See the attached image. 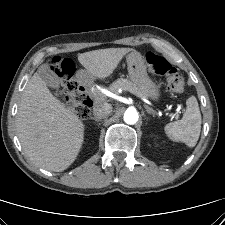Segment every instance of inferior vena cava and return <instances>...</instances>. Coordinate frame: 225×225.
Segmentation results:
<instances>
[{
  "label": "inferior vena cava",
  "mask_w": 225,
  "mask_h": 225,
  "mask_svg": "<svg viewBox=\"0 0 225 225\" xmlns=\"http://www.w3.org/2000/svg\"><path fill=\"white\" fill-rule=\"evenodd\" d=\"M111 112L112 106L109 103H99L93 108V114L98 119L106 118Z\"/></svg>",
  "instance_id": "obj_1"
}]
</instances>
